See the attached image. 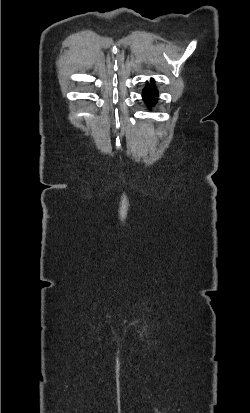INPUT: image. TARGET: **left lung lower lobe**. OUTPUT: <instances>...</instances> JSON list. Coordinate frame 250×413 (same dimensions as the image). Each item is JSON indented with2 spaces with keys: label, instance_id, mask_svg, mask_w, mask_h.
I'll list each match as a JSON object with an SVG mask.
<instances>
[{
  "label": "left lung lower lobe",
  "instance_id": "left-lung-lower-lobe-1",
  "mask_svg": "<svg viewBox=\"0 0 250 413\" xmlns=\"http://www.w3.org/2000/svg\"><path fill=\"white\" fill-rule=\"evenodd\" d=\"M153 82L154 81L152 79L151 83H153ZM155 96L156 97L158 96V92H157L156 88L152 84L147 85V87L143 90V93H142L143 100L148 105H152L156 102V99L154 98Z\"/></svg>",
  "mask_w": 250,
  "mask_h": 413
}]
</instances>
